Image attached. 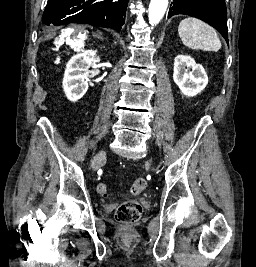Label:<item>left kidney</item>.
Segmentation results:
<instances>
[{
    "instance_id": "left-kidney-1",
    "label": "left kidney",
    "mask_w": 256,
    "mask_h": 267,
    "mask_svg": "<svg viewBox=\"0 0 256 267\" xmlns=\"http://www.w3.org/2000/svg\"><path fill=\"white\" fill-rule=\"evenodd\" d=\"M173 80L184 96H196L208 84V76L201 64L193 58L179 54L174 60Z\"/></svg>"
}]
</instances>
